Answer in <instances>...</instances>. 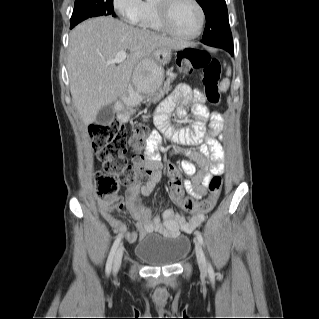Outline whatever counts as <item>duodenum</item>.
<instances>
[{
  "label": "duodenum",
  "mask_w": 319,
  "mask_h": 319,
  "mask_svg": "<svg viewBox=\"0 0 319 319\" xmlns=\"http://www.w3.org/2000/svg\"><path fill=\"white\" fill-rule=\"evenodd\" d=\"M128 106H129V98L128 97H125L122 101H119L116 104L117 118L122 122L127 121L129 118Z\"/></svg>",
  "instance_id": "obj_1"
}]
</instances>
